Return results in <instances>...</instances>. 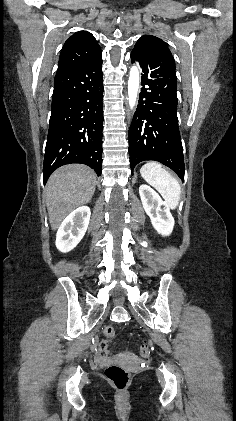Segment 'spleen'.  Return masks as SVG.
<instances>
[{"mask_svg": "<svg viewBox=\"0 0 236 421\" xmlns=\"http://www.w3.org/2000/svg\"><path fill=\"white\" fill-rule=\"evenodd\" d=\"M140 174L162 194L170 208H177L181 196V186L168 170L162 168L159 162L152 160V162H146L141 166Z\"/></svg>", "mask_w": 236, "mask_h": 421, "instance_id": "obj_1", "label": "spleen"}]
</instances>
